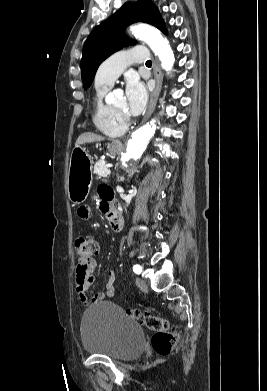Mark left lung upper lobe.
Returning <instances> with one entry per match:
<instances>
[{"mask_svg":"<svg viewBox=\"0 0 267 391\" xmlns=\"http://www.w3.org/2000/svg\"><path fill=\"white\" fill-rule=\"evenodd\" d=\"M134 22H146L166 32L161 14L151 0L125 3L119 11L94 28L84 44L81 59L84 89L90 87L103 60L123 46L136 43L124 34V29Z\"/></svg>","mask_w":267,"mask_h":391,"instance_id":"5c2ea615","label":"left lung upper lobe"}]
</instances>
